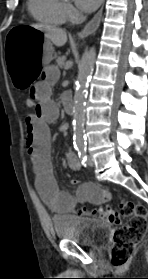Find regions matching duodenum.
Wrapping results in <instances>:
<instances>
[{"instance_id": "duodenum-1", "label": "duodenum", "mask_w": 148, "mask_h": 279, "mask_svg": "<svg viewBox=\"0 0 148 279\" xmlns=\"http://www.w3.org/2000/svg\"><path fill=\"white\" fill-rule=\"evenodd\" d=\"M63 106L68 114H73L74 112V104L72 98L66 94L62 98Z\"/></svg>"}]
</instances>
